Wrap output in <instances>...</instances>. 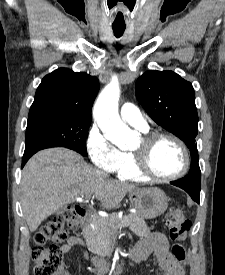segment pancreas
<instances>
[{"label": "pancreas", "mask_w": 225, "mask_h": 275, "mask_svg": "<svg viewBox=\"0 0 225 275\" xmlns=\"http://www.w3.org/2000/svg\"><path fill=\"white\" fill-rule=\"evenodd\" d=\"M122 227H129L133 233L140 237L150 233L144 218L138 214H128L122 218H119L116 213L109 218L96 217L83 231L89 250L102 257L110 255V241Z\"/></svg>", "instance_id": "pancreas-1"}]
</instances>
